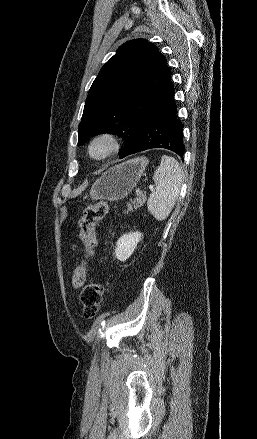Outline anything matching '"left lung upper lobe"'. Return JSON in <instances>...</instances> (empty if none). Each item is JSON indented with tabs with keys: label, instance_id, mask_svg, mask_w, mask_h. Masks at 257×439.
Wrapping results in <instances>:
<instances>
[{
	"label": "left lung upper lobe",
	"instance_id": "left-lung-upper-lobe-1",
	"mask_svg": "<svg viewBox=\"0 0 257 439\" xmlns=\"http://www.w3.org/2000/svg\"><path fill=\"white\" fill-rule=\"evenodd\" d=\"M171 72L158 48L144 39L122 44L101 68L84 106L78 145L109 133L125 140L124 158L136 145L147 112L170 85Z\"/></svg>",
	"mask_w": 257,
	"mask_h": 439
}]
</instances>
